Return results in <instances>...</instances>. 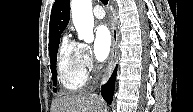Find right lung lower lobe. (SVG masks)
Wrapping results in <instances>:
<instances>
[{
  "mask_svg": "<svg viewBox=\"0 0 193 112\" xmlns=\"http://www.w3.org/2000/svg\"><path fill=\"white\" fill-rule=\"evenodd\" d=\"M116 74H117V67L115 68V70L112 73V75H111L110 79L108 80V82L102 87V90H101L102 97L109 104H111V102L113 100V93H114Z\"/></svg>",
  "mask_w": 193,
  "mask_h": 112,
  "instance_id": "obj_1",
  "label": "right lung lower lobe"
}]
</instances>
